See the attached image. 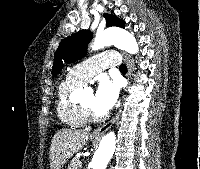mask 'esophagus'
I'll return each instance as SVG.
<instances>
[{
	"label": "esophagus",
	"mask_w": 200,
	"mask_h": 169,
	"mask_svg": "<svg viewBox=\"0 0 200 169\" xmlns=\"http://www.w3.org/2000/svg\"><path fill=\"white\" fill-rule=\"evenodd\" d=\"M124 61H125L127 68H128L126 76H127V79L130 83L131 80H132L133 66H132V63H131L129 57L126 54H124ZM120 113H121V108L119 109L117 114L109 122L98 127L97 129H95L92 133V136L98 137V136L103 135L115 123V121L118 119Z\"/></svg>",
	"instance_id": "esophagus-1"
}]
</instances>
